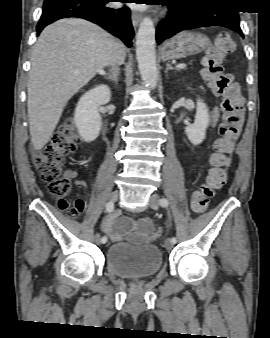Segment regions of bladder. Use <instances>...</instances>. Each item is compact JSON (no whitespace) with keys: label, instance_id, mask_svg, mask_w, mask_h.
<instances>
[{"label":"bladder","instance_id":"obj_1","mask_svg":"<svg viewBox=\"0 0 270 338\" xmlns=\"http://www.w3.org/2000/svg\"><path fill=\"white\" fill-rule=\"evenodd\" d=\"M105 263L120 278H148L161 270L163 256L154 245L116 242L107 247Z\"/></svg>","mask_w":270,"mask_h":338}]
</instances>
